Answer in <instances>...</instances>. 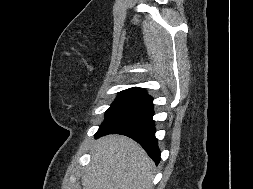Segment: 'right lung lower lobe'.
<instances>
[{
  "label": "right lung lower lobe",
  "mask_w": 253,
  "mask_h": 189,
  "mask_svg": "<svg viewBox=\"0 0 253 189\" xmlns=\"http://www.w3.org/2000/svg\"><path fill=\"white\" fill-rule=\"evenodd\" d=\"M152 97L136 101L107 117L95 137L107 134H124L136 140L158 165L160 150L155 138Z\"/></svg>",
  "instance_id": "98d812e1"
}]
</instances>
